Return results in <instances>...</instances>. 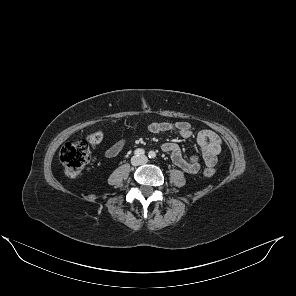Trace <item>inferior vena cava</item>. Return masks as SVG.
<instances>
[{"label":"inferior vena cava","instance_id":"1","mask_svg":"<svg viewBox=\"0 0 296 296\" xmlns=\"http://www.w3.org/2000/svg\"><path fill=\"white\" fill-rule=\"evenodd\" d=\"M147 162V158H144V161H143V163H146Z\"/></svg>","mask_w":296,"mask_h":296}]
</instances>
